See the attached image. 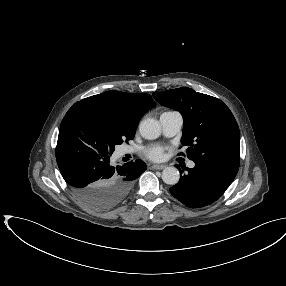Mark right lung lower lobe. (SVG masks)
Here are the masks:
<instances>
[{
	"label": "right lung lower lobe",
	"instance_id": "obj_1",
	"mask_svg": "<svg viewBox=\"0 0 286 286\" xmlns=\"http://www.w3.org/2000/svg\"><path fill=\"white\" fill-rule=\"evenodd\" d=\"M111 154L85 138L68 124L61 123L56 146V160L64 180L76 197L86 205L107 209L121 202L133 181L146 170L137 159L114 166Z\"/></svg>",
	"mask_w": 286,
	"mask_h": 286
}]
</instances>
